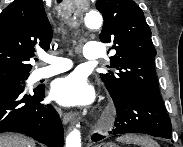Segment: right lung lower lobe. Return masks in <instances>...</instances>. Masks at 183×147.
<instances>
[{
	"label": "right lung lower lobe",
	"mask_w": 183,
	"mask_h": 147,
	"mask_svg": "<svg viewBox=\"0 0 183 147\" xmlns=\"http://www.w3.org/2000/svg\"><path fill=\"white\" fill-rule=\"evenodd\" d=\"M44 94V87L26 93L25 84L0 85V133H22L49 147H62L61 120L43 101Z\"/></svg>",
	"instance_id": "right-lung-lower-lobe-1"
}]
</instances>
